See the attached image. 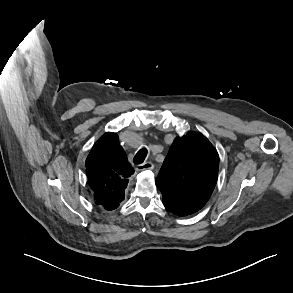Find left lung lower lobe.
<instances>
[{"instance_id":"left-lung-lower-lobe-1","label":"left lung lower lobe","mask_w":293,"mask_h":293,"mask_svg":"<svg viewBox=\"0 0 293 293\" xmlns=\"http://www.w3.org/2000/svg\"><path fill=\"white\" fill-rule=\"evenodd\" d=\"M163 204L168 210H170L172 213H174L176 215L186 216V215L192 214L190 211H188L182 207H179L169 201L163 200Z\"/></svg>"}]
</instances>
